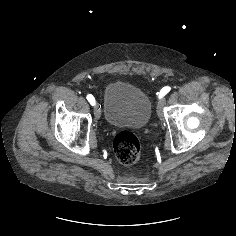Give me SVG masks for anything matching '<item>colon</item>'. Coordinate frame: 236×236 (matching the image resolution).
Listing matches in <instances>:
<instances>
[{
	"mask_svg": "<svg viewBox=\"0 0 236 236\" xmlns=\"http://www.w3.org/2000/svg\"><path fill=\"white\" fill-rule=\"evenodd\" d=\"M113 149L121 163L130 165L136 163L140 158L141 142L135 134L123 131L115 136Z\"/></svg>",
	"mask_w": 236,
	"mask_h": 236,
	"instance_id": "5ec220e1",
	"label": "colon"
}]
</instances>
